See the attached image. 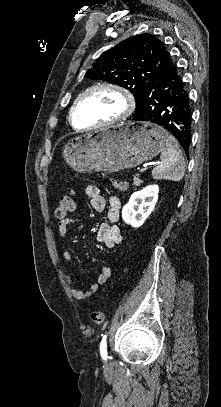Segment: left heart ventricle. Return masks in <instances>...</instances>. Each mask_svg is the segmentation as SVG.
<instances>
[{
    "instance_id": "1",
    "label": "left heart ventricle",
    "mask_w": 221,
    "mask_h": 407,
    "mask_svg": "<svg viewBox=\"0 0 221 407\" xmlns=\"http://www.w3.org/2000/svg\"><path fill=\"white\" fill-rule=\"evenodd\" d=\"M125 109L122 96L113 90H98L88 95L75 112V126L85 128L119 116Z\"/></svg>"
}]
</instances>
